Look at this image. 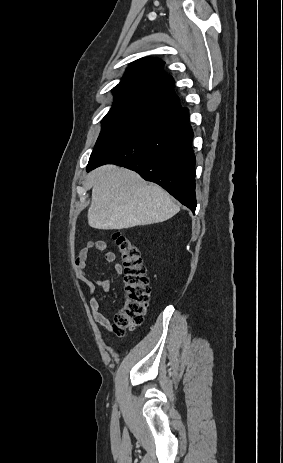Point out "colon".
Wrapping results in <instances>:
<instances>
[{"label": "colon", "mask_w": 283, "mask_h": 463, "mask_svg": "<svg viewBox=\"0 0 283 463\" xmlns=\"http://www.w3.org/2000/svg\"><path fill=\"white\" fill-rule=\"evenodd\" d=\"M113 241L122 258L125 300L114 317L112 328L117 335H124L144 320L151 289L139 250L131 239L116 231Z\"/></svg>", "instance_id": "colon-1"}]
</instances>
